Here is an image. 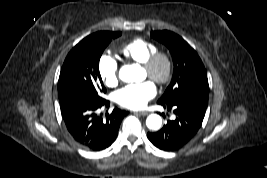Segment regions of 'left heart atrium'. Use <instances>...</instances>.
<instances>
[{
    "instance_id": "left-heart-atrium-1",
    "label": "left heart atrium",
    "mask_w": 267,
    "mask_h": 178,
    "mask_svg": "<svg viewBox=\"0 0 267 178\" xmlns=\"http://www.w3.org/2000/svg\"><path fill=\"white\" fill-rule=\"evenodd\" d=\"M156 86L150 81L126 85L114 94V100L120 106L138 110L146 106V104L155 97Z\"/></svg>"
}]
</instances>
